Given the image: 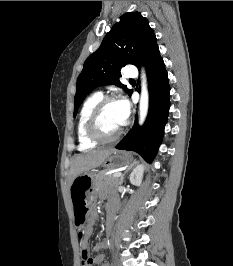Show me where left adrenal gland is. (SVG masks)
Listing matches in <instances>:
<instances>
[{"label": "left adrenal gland", "mask_w": 233, "mask_h": 266, "mask_svg": "<svg viewBox=\"0 0 233 266\" xmlns=\"http://www.w3.org/2000/svg\"><path fill=\"white\" fill-rule=\"evenodd\" d=\"M138 164V161H134L131 165H129L128 167H127V169L124 171V173H123V175L121 176V179H120V184H122L123 182H124V178H125V175H126V173H128L135 165H137ZM138 166V165H137ZM136 166V167H137ZM135 167V168H136ZM134 168V169H135Z\"/></svg>", "instance_id": "1"}]
</instances>
